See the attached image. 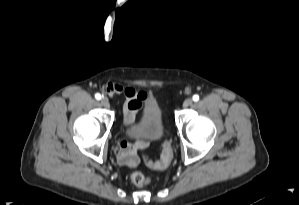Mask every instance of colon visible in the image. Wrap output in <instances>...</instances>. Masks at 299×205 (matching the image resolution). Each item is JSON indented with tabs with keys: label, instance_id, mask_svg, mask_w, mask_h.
Returning <instances> with one entry per match:
<instances>
[{
	"label": "colon",
	"instance_id": "5ec220e1",
	"mask_svg": "<svg viewBox=\"0 0 299 205\" xmlns=\"http://www.w3.org/2000/svg\"><path fill=\"white\" fill-rule=\"evenodd\" d=\"M172 158V149L169 143H166L159 161L147 160L150 167L154 169H163L167 167ZM131 181L136 186H144L150 182V179L139 170H135L130 175Z\"/></svg>",
	"mask_w": 299,
	"mask_h": 205
}]
</instances>
